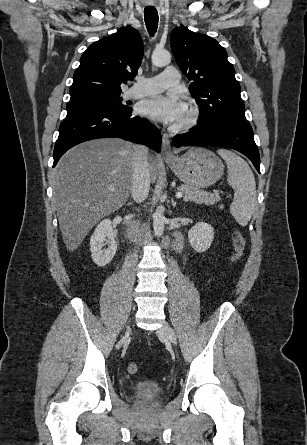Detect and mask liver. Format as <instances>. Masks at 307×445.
<instances>
[{"label": "liver", "instance_id": "liver-1", "mask_svg": "<svg viewBox=\"0 0 307 445\" xmlns=\"http://www.w3.org/2000/svg\"><path fill=\"white\" fill-rule=\"evenodd\" d=\"M133 156L128 140L96 138L73 146L60 158L53 172V196L68 251L78 249L103 216L125 204L132 190ZM161 162L148 154L152 182Z\"/></svg>", "mask_w": 307, "mask_h": 445}]
</instances>
